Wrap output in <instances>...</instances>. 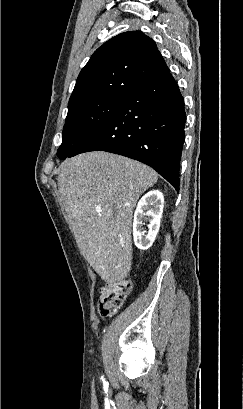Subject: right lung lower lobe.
I'll return each mask as SVG.
<instances>
[{
    "label": "right lung lower lobe",
    "instance_id": "98d812e1",
    "mask_svg": "<svg viewBox=\"0 0 243 409\" xmlns=\"http://www.w3.org/2000/svg\"><path fill=\"white\" fill-rule=\"evenodd\" d=\"M185 122L184 99L168 74L129 95L110 120L67 157L98 150L123 155L151 166L179 191Z\"/></svg>",
    "mask_w": 243,
    "mask_h": 409
}]
</instances>
